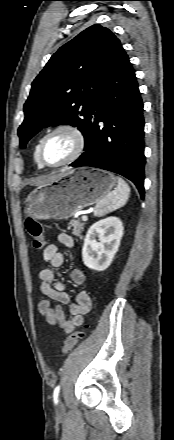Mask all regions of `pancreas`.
<instances>
[{"instance_id": "1", "label": "pancreas", "mask_w": 174, "mask_h": 440, "mask_svg": "<svg viewBox=\"0 0 174 440\" xmlns=\"http://www.w3.org/2000/svg\"><path fill=\"white\" fill-rule=\"evenodd\" d=\"M85 223L81 222L80 220L72 219L69 223L68 229L72 230V234L82 238V231L84 229Z\"/></svg>"}]
</instances>
